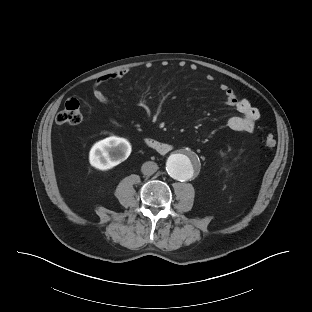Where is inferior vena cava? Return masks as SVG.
<instances>
[{
    "label": "inferior vena cava",
    "instance_id": "inferior-vena-cava-1",
    "mask_svg": "<svg viewBox=\"0 0 312 312\" xmlns=\"http://www.w3.org/2000/svg\"><path fill=\"white\" fill-rule=\"evenodd\" d=\"M158 168L159 167L155 162L147 161L142 165L141 171L144 175L150 176L154 174L158 170Z\"/></svg>",
    "mask_w": 312,
    "mask_h": 312
}]
</instances>
